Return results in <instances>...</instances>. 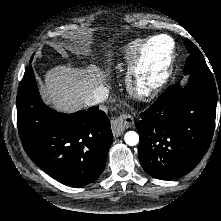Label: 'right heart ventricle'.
<instances>
[{"label":"right heart ventricle","instance_id":"right-heart-ventricle-1","mask_svg":"<svg viewBox=\"0 0 221 221\" xmlns=\"http://www.w3.org/2000/svg\"><path fill=\"white\" fill-rule=\"evenodd\" d=\"M141 42H142L141 40H135V41L123 44L119 48L120 51H119L117 62H122L123 60L129 62V60H131L134 57V55L137 53Z\"/></svg>","mask_w":221,"mask_h":221}]
</instances>
